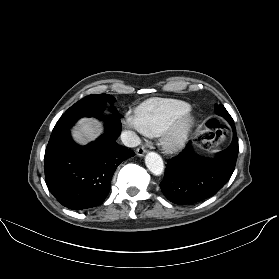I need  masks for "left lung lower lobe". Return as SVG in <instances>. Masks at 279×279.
Instances as JSON below:
<instances>
[{
  "instance_id": "left-lung-lower-lobe-1",
  "label": "left lung lower lobe",
  "mask_w": 279,
  "mask_h": 279,
  "mask_svg": "<svg viewBox=\"0 0 279 279\" xmlns=\"http://www.w3.org/2000/svg\"><path fill=\"white\" fill-rule=\"evenodd\" d=\"M231 145L208 159L194 153L188 144L178 156L166 165L163 181L160 183L165 197L178 205L193 204L215 195L231 177L238 156V138L232 120Z\"/></svg>"
}]
</instances>
